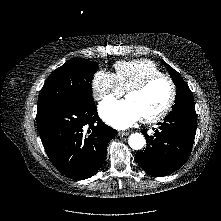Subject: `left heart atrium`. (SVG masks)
<instances>
[{
  "instance_id": "1",
  "label": "left heart atrium",
  "mask_w": 221,
  "mask_h": 221,
  "mask_svg": "<svg viewBox=\"0 0 221 221\" xmlns=\"http://www.w3.org/2000/svg\"><path fill=\"white\" fill-rule=\"evenodd\" d=\"M101 118L112 127L125 129L137 122L141 115L136 106L128 99H108L99 106Z\"/></svg>"
}]
</instances>
